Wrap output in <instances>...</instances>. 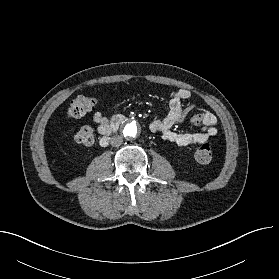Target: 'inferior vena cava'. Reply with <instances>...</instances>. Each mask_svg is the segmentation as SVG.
I'll list each match as a JSON object with an SVG mask.
<instances>
[{
	"label": "inferior vena cava",
	"instance_id": "1",
	"mask_svg": "<svg viewBox=\"0 0 279 279\" xmlns=\"http://www.w3.org/2000/svg\"><path fill=\"white\" fill-rule=\"evenodd\" d=\"M123 143V138L119 135H115L110 139V144L112 146L118 147Z\"/></svg>",
	"mask_w": 279,
	"mask_h": 279
}]
</instances>
